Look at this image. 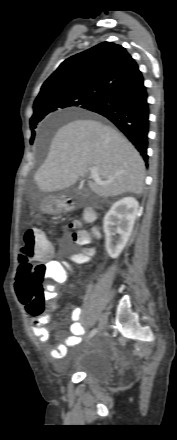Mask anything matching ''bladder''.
<instances>
[{"label":"bladder","instance_id":"bladder-1","mask_svg":"<svg viewBox=\"0 0 177 440\" xmlns=\"http://www.w3.org/2000/svg\"><path fill=\"white\" fill-rule=\"evenodd\" d=\"M76 368L97 385L106 383L113 373L112 360L96 352L86 353Z\"/></svg>","mask_w":177,"mask_h":440}]
</instances>
